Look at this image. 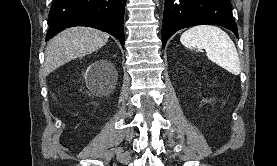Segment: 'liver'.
I'll return each instance as SVG.
<instances>
[{
  "instance_id": "6515ba94",
  "label": "liver",
  "mask_w": 277,
  "mask_h": 166,
  "mask_svg": "<svg viewBox=\"0 0 277 166\" xmlns=\"http://www.w3.org/2000/svg\"><path fill=\"white\" fill-rule=\"evenodd\" d=\"M109 35L90 27L66 29L48 42L43 65L45 75L76 58L91 54L108 41Z\"/></svg>"
}]
</instances>
